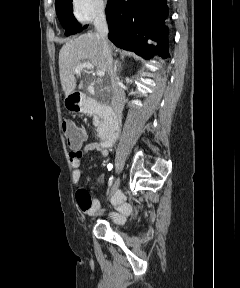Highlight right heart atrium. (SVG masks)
I'll return each instance as SVG.
<instances>
[{
  "label": "right heart atrium",
  "mask_w": 240,
  "mask_h": 288,
  "mask_svg": "<svg viewBox=\"0 0 240 288\" xmlns=\"http://www.w3.org/2000/svg\"><path fill=\"white\" fill-rule=\"evenodd\" d=\"M73 12L80 22H89L104 12V0H72Z\"/></svg>",
  "instance_id": "d8ad5b80"
}]
</instances>
